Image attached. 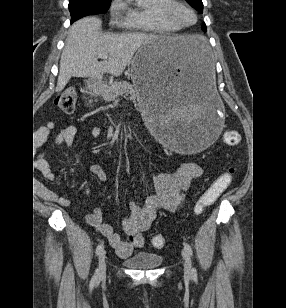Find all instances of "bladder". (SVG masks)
Returning <instances> with one entry per match:
<instances>
[{"instance_id":"bladder-1","label":"bladder","mask_w":286,"mask_h":308,"mask_svg":"<svg viewBox=\"0 0 286 308\" xmlns=\"http://www.w3.org/2000/svg\"><path fill=\"white\" fill-rule=\"evenodd\" d=\"M162 262L163 257L160 254L147 251H138L124 260L128 267L137 270L154 269L160 266Z\"/></svg>"}]
</instances>
